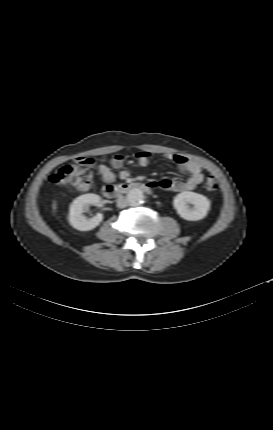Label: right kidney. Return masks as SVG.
<instances>
[{
	"label": "right kidney",
	"mask_w": 273,
	"mask_h": 430,
	"mask_svg": "<svg viewBox=\"0 0 273 430\" xmlns=\"http://www.w3.org/2000/svg\"><path fill=\"white\" fill-rule=\"evenodd\" d=\"M101 201L99 195L85 194L77 197L70 205L69 222L73 228L80 231H89L96 228L103 220V214L97 213L92 218L84 216L90 205H98Z\"/></svg>",
	"instance_id": "ca27d5eb"
}]
</instances>
